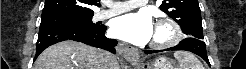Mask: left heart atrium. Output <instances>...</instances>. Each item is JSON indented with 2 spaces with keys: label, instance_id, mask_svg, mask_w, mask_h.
I'll return each instance as SVG.
<instances>
[{
  "label": "left heart atrium",
  "instance_id": "left-heart-atrium-1",
  "mask_svg": "<svg viewBox=\"0 0 246 69\" xmlns=\"http://www.w3.org/2000/svg\"><path fill=\"white\" fill-rule=\"evenodd\" d=\"M111 33L118 39L143 45L152 39L154 25L150 14L146 11L128 13L113 20Z\"/></svg>",
  "mask_w": 246,
  "mask_h": 69
}]
</instances>
